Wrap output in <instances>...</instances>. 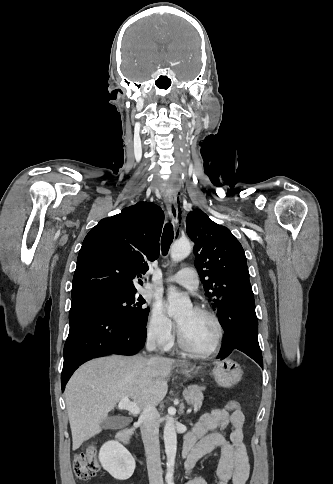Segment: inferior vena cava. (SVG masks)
<instances>
[{
    "label": "inferior vena cava",
    "mask_w": 333,
    "mask_h": 484,
    "mask_svg": "<svg viewBox=\"0 0 333 484\" xmlns=\"http://www.w3.org/2000/svg\"><path fill=\"white\" fill-rule=\"evenodd\" d=\"M156 348V338L149 335L146 342L147 351L151 352ZM157 411L154 406L148 405L142 411L138 419L142 440L145 447L147 469L150 484H163L160 445H159V426L156 423Z\"/></svg>",
    "instance_id": "602c4592"
}]
</instances>
